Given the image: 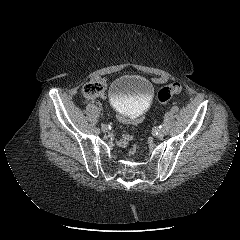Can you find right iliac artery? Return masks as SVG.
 Instances as JSON below:
<instances>
[{
	"label": "right iliac artery",
	"instance_id": "82829eb1",
	"mask_svg": "<svg viewBox=\"0 0 240 240\" xmlns=\"http://www.w3.org/2000/svg\"><path fill=\"white\" fill-rule=\"evenodd\" d=\"M94 132H95L96 134H99V133L101 132L100 127H99V126H96L95 129H94Z\"/></svg>",
	"mask_w": 240,
	"mask_h": 240
}]
</instances>
